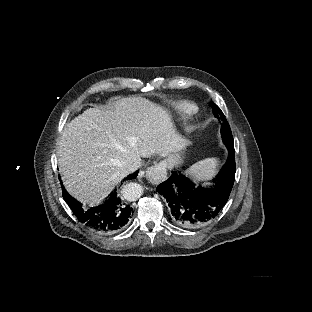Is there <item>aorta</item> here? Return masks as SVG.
Wrapping results in <instances>:
<instances>
[{
	"label": "aorta",
	"instance_id": "obj_1",
	"mask_svg": "<svg viewBox=\"0 0 312 312\" xmlns=\"http://www.w3.org/2000/svg\"><path fill=\"white\" fill-rule=\"evenodd\" d=\"M144 188L138 183H129L124 187V197L128 201H136L143 194Z\"/></svg>",
	"mask_w": 312,
	"mask_h": 312
}]
</instances>
